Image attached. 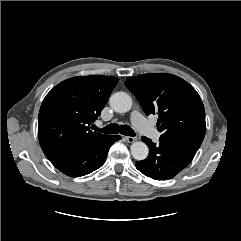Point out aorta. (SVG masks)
I'll list each match as a JSON object with an SVG mask.
<instances>
[{
  "instance_id": "1",
  "label": "aorta",
  "mask_w": 241,
  "mask_h": 241,
  "mask_svg": "<svg viewBox=\"0 0 241 241\" xmlns=\"http://www.w3.org/2000/svg\"><path fill=\"white\" fill-rule=\"evenodd\" d=\"M109 104L115 112L125 113L132 107V98L125 92H116L110 97ZM130 150L133 158L138 161L146 159L149 153L148 146L142 141L134 142Z\"/></svg>"
}]
</instances>
